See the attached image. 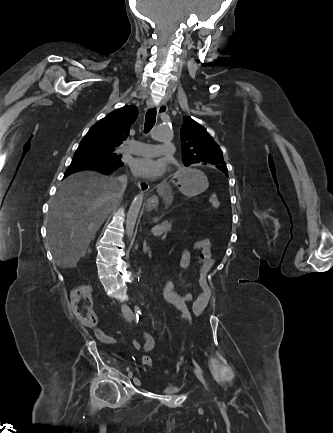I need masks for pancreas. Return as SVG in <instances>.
Wrapping results in <instances>:
<instances>
[{"label":"pancreas","mask_w":333,"mask_h":433,"mask_svg":"<svg viewBox=\"0 0 333 433\" xmlns=\"http://www.w3.org/2000/svg\"><path fill=\"white\" fill-rule=\"evenodd\" d=\"M154 228L159 233V235L163 234V236L166 237L167 233L171 231L172 222L164 221L161 224H157Z\"/></svg>","instance_id":"obj_1"}]
</instances>
